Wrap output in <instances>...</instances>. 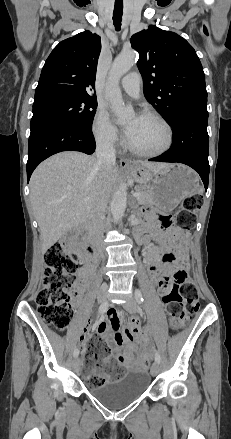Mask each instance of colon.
Instances as JSON below:
<instances>
[{"label":"colon","mask_w":231,"mask_h":439,"mask_svg":"<svg viewBox=\"0 0 231 439\" xmlns=\"http://www.w3.org/2000/svg\"><path fill=\"white\" fill-rule=\"evenodd\" d=\"M203 198L194 194L184 199L182 208L174 218L163 216L158 223L163 229H169L176 224L180 229L189 232L196 221V212L201 208ZM79 253L68 252L65 245L57 242L50 246L44 255L45 278L42 289L36 296L37 311L40 317L58 329L66 328L72 317L71 298L75 291L78 278L83 271L79 265ZM170 257H167L169 260ZM176 273L173 282L163 293V302L172 326L186 324L193 314L198 311L199 292L197 286L187 278V262L185 255H180L175 261ZM134 331L138 326L133 327ZM84 362L86 370H91L103 359L107 358L110 349L97 336L91 337L85 343ZM148 365V363H146ZM117 365L108 361L103 365L104 374H91L87 379L89 387H98L108 380H118L122 374L115 371ZM112 371L111 373H109Z\"/></svg>","instance_id":"colon-1"}]
</instances>
